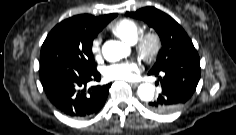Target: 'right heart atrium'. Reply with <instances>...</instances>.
Instances as JSON below:
<instances>
[{
  "label": "right heart atrium",
  "instance_id": "obj_1",
  "mask_svg": "<svg viewBox=\"0 0 236 135\" xmlns=\"http://www.w3.org/2000/svg\"><path fill=\"white\" fill-rule=\"evenodd\" d=\"M101 44H102V37L100 35L95 36L91 42V50L94 55H100Z\"/></svg>",
  "mask_w": 236,
  "mask_h": 135
}]
</instances>
